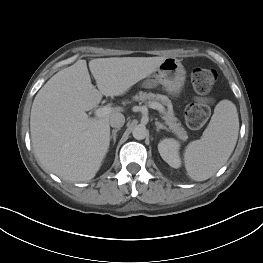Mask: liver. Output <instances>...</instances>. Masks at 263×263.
Wrapping results in <instances>:
<instances>
[{"mask_svg":"<svg viewBox=\"0 0 263 263\" xmlns=\"http://www.w3.org/2000/svg\"><path fill=\"white\" fill-rule=\"evenodd\" d=\"M166 57H111L78 60L54 76L37 93L31 108L33 149L42 167L70 182L89 181L100 169L110 143L109 119L86 111L103 95L119 96L152 74Z\"/></svg>","mask_w":263,"mask_h":263,"instance_id":"liver-1","label":"liver"}]
</instances>
